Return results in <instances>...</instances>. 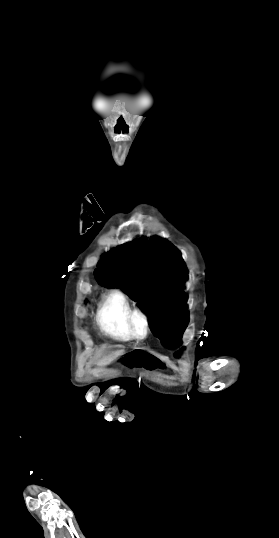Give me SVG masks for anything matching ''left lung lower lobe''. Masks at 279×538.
<instances>
[{
  "instance_id": "left-lung-lower-lobe-1",
  "label": "left lung lower lobe",
  "mask_w": 279,
  "mask_h": 538,
  "mask_svg": "<svg viewBox=\"0 0 279 538\" xmlns=\"http://www.w3.org/2000/svg\"><path fill=\"white\" fill-rule=\"evenodd\" d=\"M161 342L162 345L167 348H177L181 344V335H177L175 332L171 333H163L161 335L157 336ZM184 348H181L183 350ZM180 354V351L175 353V356H178Z\"/></svg>"
}]
</instances>
